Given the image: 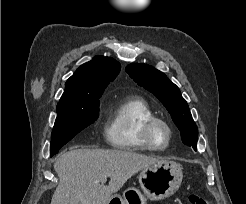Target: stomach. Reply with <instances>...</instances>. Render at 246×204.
<instances>
[{"label": "stomach", "mask_w": 246, "mask_h": 204, "mask_svg": "<svg viewBox=\"0 0 246 204\" xmlns=\"http://www.w3.org/2000/svg\"><path fill=\"white\" fill-rule=\"evenodd\" d=\"M182 178L180 164L173 161H159L143 169L139 174V184L145 196L137 189L128 188L123 195H112L106 204H145L147 199L162 200L179 189Z\"/></svg>", "instance_id": "obj_1"}]
</instances>
